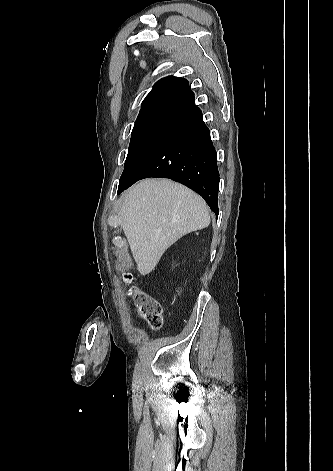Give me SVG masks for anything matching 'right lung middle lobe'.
<instances>
[{
	"instance_id": "right-lung-middle-lobe-1",
	"label": "right lung middle lobe",
	"mask_w": 333,
	"mask_h": 471,
	"mask_svg": "<svg viewBox=\"0 0 333 471\" xmlns=\"http://www.w3.org/2000/svg\"><path fill=\"white\" fill-rule=\"evenodd\" d=\"M175 122L162 117H138L133 127L124 171L159 134Z\"/></svg>"
}]
</instances>
